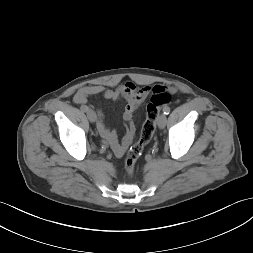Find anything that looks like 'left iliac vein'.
<instances>
[{
    "instance_id": "obj_1",
    "label": "left iliac vein",
    "mask_w": 253,
    "mask_h": 253,
    "mask_svg": "<svg viewBox=\"0 0 253 253\" xmlns=\"http://www.w3.org/2000/svg\"><path fill=\"white\" fill-rule=\"evenodd\" d=\"M167 122V118L164 114H161L158 119H157V124L159 126V128L163 129L166 125Z\"/></svg>"
}]
</instances>
